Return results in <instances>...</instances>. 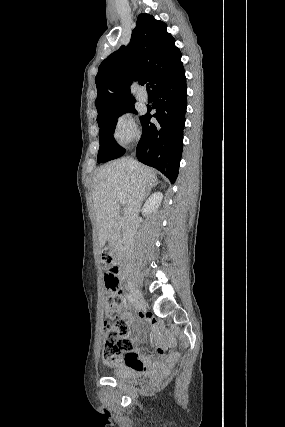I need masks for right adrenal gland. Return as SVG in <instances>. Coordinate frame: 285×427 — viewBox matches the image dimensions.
Listing matches in <instances>:
<instances>
[{
	"label": "right adrenal gland",
	"mask_w": 285,
	"mask_h": 427,
	"mask_svg": "<svg viewBox=\"0 0 285 427\" xmlns=\"http://www.w3.org/2000/svg\"><path fill=\"white\" fill-rule=\"evenodd\" d=\"M157 185V183H153V184H150L149 186H148V188H147V190H146V193H145V196H144V200L147 198V196L149 195V193H150V191H151V189L153 188V187H155Z\"/></svg>",
	"instance_id": "2a0ac1e0"
}]
</instances>
